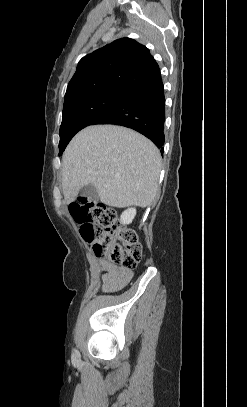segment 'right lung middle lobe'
Returning <instances> with one entry per match:
<instances>
[{
  "label": "right lung middle lobe",
  "mask_w": 247,
  "mask_h": 407,
  "mask_svg": "<svg viewBox=\"0 0 247 407\" xmlns=\"http://www.w3.org/2000/svg\"><path fill=\"white\" fill-rule=\"evenodd\" d=\"M134 91L135 89L123 86L109 87L64 105L59 131V155L77 132L92 125Z\"/></svg>",
  "instance_id": "obj_1"
}]
</instances>
